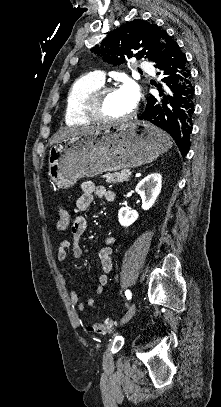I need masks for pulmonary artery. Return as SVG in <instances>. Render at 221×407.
Listing matches in <instances>:
<instances>
[{
  "label": "pulmonary artery",
  "mask_w": 221,
  "mask_h": 407,
  "mask_svg": "<svg viewBox=\"0 0 221 407\" xmlns=\"http://www.w3.org/2000/svg\"><path fill=\"white\" fill-rule=\"evenodd\" d=\"M140 69L143 72H152L153 71L151 65H149L148 63H144V62L140 64ZM90 75L92 77H94L101 84H103L105 82V75L101 71L95 70V71L91 72Z\"/></svg>",
  "instance_id": "1"
}]
</instances>
